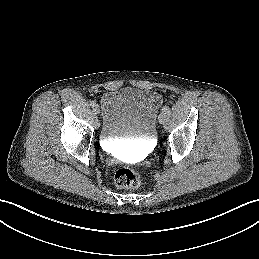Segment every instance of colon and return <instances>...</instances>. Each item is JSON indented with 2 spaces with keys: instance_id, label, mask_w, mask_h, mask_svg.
<instances>
[{
  "instance_id": "1",
  "label": "colon",
  "mask_w": 259,
  "mask_h": 259,
  "mask_svg": "<svg viewBox=\"0 0 259 259\" xmlns=\"http://www.w3.org/2000/svg\"><path fill=\"white\" fill-rule=\"evenodd\" d=\"M114 183L119 188H136L141 184V177L135 170L122 167L116 171Z\"/></svg>"
}]
</instances>
